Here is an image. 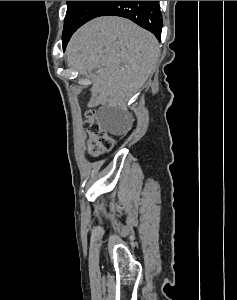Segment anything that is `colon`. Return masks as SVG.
<instances>
[{
    "label": "colon",
    "mask_w": 237,
    "mask_h": 300,
    "mask_svg": "<svg viewBox=\"0 0 237 300\" xmlns=\"http://www.w3.org/2000/svg\"><path fill=\"white\" fill-rule=\"evenodd\" d=\"M84 129L89 135L88 149L92 156H100L111 150L113 146L112 138L101 127L94 110L86 112Z\"/></svg>",
    "instance_id": "5ec220e1"
}]
</instances>
